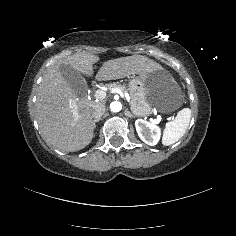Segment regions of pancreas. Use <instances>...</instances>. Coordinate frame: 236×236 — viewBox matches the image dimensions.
Wrapping results in <instances>:
<instances>
[{"label":"pancreas","instance_id":"1","mask_svg":"<svg viewBox=\"0 0 236 236\" xmlns=\"http://www.w3.org/2000/svg\"><path fill=\"white\" fill-rule=\"evenodd\" d=\"M108 88H120L123 93H127L125 86L119 83H109Z\"/></svg>","mask_w":236,"mask_h":236}]
</instances>
